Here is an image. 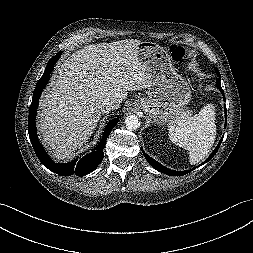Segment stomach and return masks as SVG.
<instances>
[{
    "label": "stomach",
    "mask_w": 253,
    "mask_h": 253,
    "mask_svg": "<svg viewBox=\"0 0 253 253\" xmlns=\"http://www.w3.org/2000/svg\"><path fill=\"white\" fill-rule=\"evenodd\" d=\"M137 58L151 75L148 98L135 105L143 109L157 124L172 123L190 102L191 89L187 81L176 73L170 55L153 42L137 45Z\"/></svg>",
    "instance_id": "1"
}]
</instances>
